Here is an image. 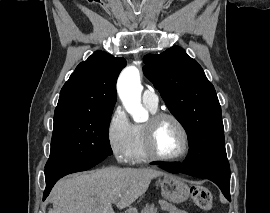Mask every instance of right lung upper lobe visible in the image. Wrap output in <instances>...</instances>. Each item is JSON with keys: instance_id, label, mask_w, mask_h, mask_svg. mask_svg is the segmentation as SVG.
<instances>
[{"instance_id": "right-lung-upper-lobe-1", "label": "right lung upper lobe", "mask_w": 270, "mask_h": 213, "mask_svg": "<svg viewBox=\"0 0 270 213\" xmlns=\"http://www.w3.org/2000/svg\"><path fill=\"white\" fill-rule=\"evenodd\" d=\"M124 58L104 51L81 62L60 92L55 114L68 112H112L116 102V80L125 67Z\"/></svg>"}]
</instances>
